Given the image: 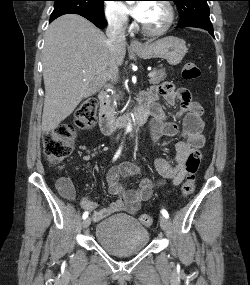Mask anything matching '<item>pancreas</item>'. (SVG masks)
Listing matches in <instances>:
<instances>
[{
    "label": "pancreas",
    "mask_w": 250,
    "mask_h": 285,
    "mask_svg": "<svg viewBox=\"0 0 250 285\" xmlns=\"http://www.w3.org/2000/svg\"><path fill=\"white\" fill-rule=\"evenodd\" d=\"M153 72L155 75L149 79L150 84H159L161 81H163L166 78V73L162 69H154ZM121 93L116 94L114 93L113 97L108 99L106 102V109L111 114H115V104L114 102L118 101L120 99Z\"/></svg>",
    "instance_id": "1"
}]
</instances>
